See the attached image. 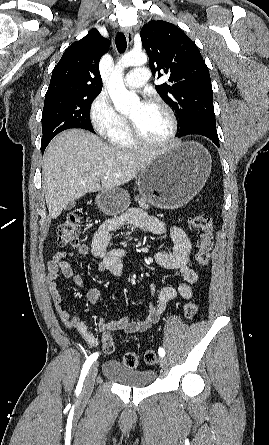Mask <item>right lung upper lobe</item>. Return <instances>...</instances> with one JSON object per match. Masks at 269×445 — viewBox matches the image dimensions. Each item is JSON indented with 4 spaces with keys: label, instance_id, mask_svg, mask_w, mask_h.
Segmentation results:
<instances>
[{
    "label": "right lung upper lobe",
    "instance_id": "cb5924a9",
    "mask_svg": "<svg viewBox=\"0 0 269 445\" xmlns=\"http://www.w3.org/2000/svg\"><path fill=\"white\" fill-rule=\"evenodd\" d=\"M110 41L92 29L69 46L52 71L48 94L100 93L102 79L99 61L109 49Z\"/></svg>",
    "mask_w": 269,
    "mask_h": 445
}]
</instances>
